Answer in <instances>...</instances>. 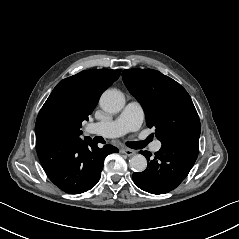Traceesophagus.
Listing matches in <instances>:
<instances>
[{
	"mask_svg": "<svg viewBox=\"0 0 239 239\" xmlns=\"http://www.w3.org/2000/svg\"><path fill=\"white\" fill-rule=\"evenodd\" d=\"M121 153L126 154L127 156H133L136 152L132 149H121Z\"/></svg>",
	"mask_w": 239,
	"mask_h": 239,
	"instance_id": "1",
	"label": "esophagus"
}]
</instances>
